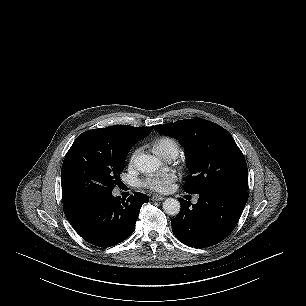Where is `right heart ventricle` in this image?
<instances>
[{
  "mask_svg": "<svg viewBox=\"0 0 306 306\" xmlns=\"http://www.w3.org/2000/svg\"><path fill=\"white\" fill-rule=\"evenodd\" d=\"M153 148L164 158L176 153L178 154L179 146L177 142L170 137H160L153 142Z\"/></svg>",
  "mask_w": 306,
  "mask_h": 306,
  "instance_id": "1",
  "label": "right heart ventricle"
}]
</instances>
